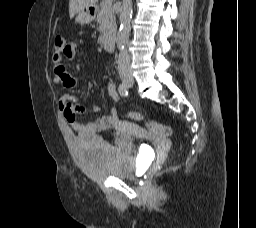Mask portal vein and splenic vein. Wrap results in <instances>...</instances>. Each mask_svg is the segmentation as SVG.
Segmentation results:
<instances>
[{
  "instance_id": "18ae733b",
  "label": "portal vein and splenic vein",
  "mask_w": 256,
  "mask_h": 228,
  "mask_svg": "<svg viewBox=\"0 0 256 228\" xmlns=\"http://www.w3.org/2000/svg\"><path fill=\"white\" fill-rule=\"evenodd\" d=\"M109 1H111V0H106V3H108Z\"/></svg>"
}]
</instances>
